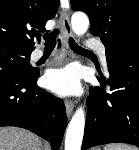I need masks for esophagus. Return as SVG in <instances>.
Segmentation results:
<instances>
[{"mask_svg":"<svg viewBox=\"0 0 139 150\" xmlns=\"http://www.w3.org/2000/svg\"><path fill=\"white\" fill-rule=\"evenodd\" d=\"M60 24L62 27L63 41L68 51V40L72 36V29L70 24L69 12L66 9H63L60 13ZM65 107H66L67 116L70 117L74 109V101L71 99H66Z\"/></svg>","mask_w":139,"mask_h":150,"instance_id":"1","label":"esophagus"}]
</instances>
